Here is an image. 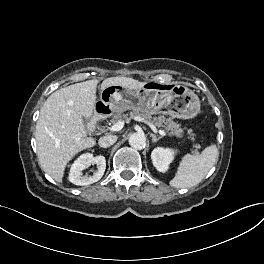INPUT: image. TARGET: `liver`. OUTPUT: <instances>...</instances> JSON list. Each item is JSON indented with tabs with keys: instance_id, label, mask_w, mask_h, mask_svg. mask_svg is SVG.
I'll return each mask as SVG.
<instances>
[{
	"instance_id": "obj_1",
	"label": "liver",
	"mask_w": 264,
	"mask_h": 264,
	"mask_svg": "<svg viewBox=\"0 0 264 264\" xmlns=\"http://www.w3.org/2000/svg\"><path fill=\"white\" fill-rule=\"evenodd\" d=\"M98 80L61 88L44 103L36 125L37 154L41 168L56 182H62L67 163L96 140L87 137L83 117L90 118L96 102ZM146 83L127 77H110L101 91L112 85L139 90Z\"/></svg>"
}]
</instances>
